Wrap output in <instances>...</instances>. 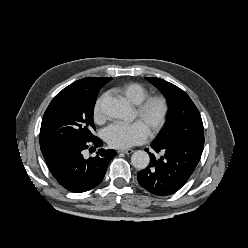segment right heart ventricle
I'll return each instance as SVG.
<instances>
[{
	"instance_id": "1",
	"label": "right heart ventricle",
	"mask_w": 248,
	"mask_h": 248,
	"mask_svg": "<svg viewBox=\"0 0 248 248\" xmlns=\"http://www.w3.org/2000/svg\"><path fill=\"white\" fill-rule=\"evenodd\" d=\"M115 91L120 93L126 100L135 105L140 103L146 96H148L147 88L136 82L126 83L116 88Z\"/></svg>"
}]
</instances>
